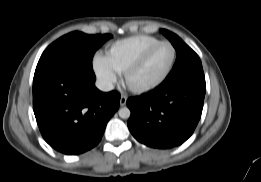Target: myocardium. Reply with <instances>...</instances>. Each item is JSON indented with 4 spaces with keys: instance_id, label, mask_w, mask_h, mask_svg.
Listing matches in <instances>:
<instances>
[{
    "instance_id": "f54148a6",
    "label": "myocardium",
    "mask_w": 261,
    "mask_h": 182,
    "mask_svg": "<svg viewBox=\"0 0 261 182\" xmlns=\"http://www.w3.org/2000/svg\"><path fill=\"white\" fill-rule=\"evenodd\" d=\"M165 45L169 46L172 49L173 56H172L169 66L166 69V71L164 72V74L158 80H156L155 82H153L151 84L141 86V87L132 86L129 82L131 76L145 64V62L148 60V58L157 48H159L160 46H165ZM176 60H177V50H176L175 46L171 42L160 41V42L156 43L155 45L151 46L150 48H148L124 71L123 83L131 92L136 93V94H143V93L152 91V90L158 88L159 86H161L168 79V77L170 76V74L175 66Z\"/></svg>"
}]
</instances>
